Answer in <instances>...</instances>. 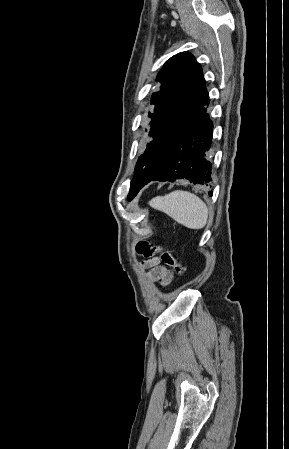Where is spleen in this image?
Masks as SVG:
<instances>
[{
    "instance_id": "3e777b00",
    "label": "spleen",
    "mask_w": 289,
    "mask_h": 449,
    "mask_svg": "<svg viewBox=\"0 0 289 449\" xmlns=\"http://www.w3.org/2000/svg\"><path fill=\"white\" fill-rule=\"evenodd\" d=\"M149 205L190 229L199 230L207 224L206 204L188 191L176 190L165 196H157L149 202Z\"/></svg>"
}]
</instances>
